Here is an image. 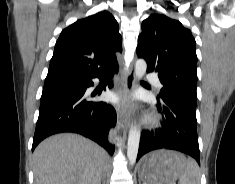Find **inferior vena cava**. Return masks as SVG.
Masks as SVG:
<instances>
[{
	"label": "inferior vena cava",
	"mask_w": 235,
	"mask_h": 184,
	"mask_svg": "<svg viewBox=\"0 0 235 184\" xmlns=\"http://www.w3.org/2000/svg\"><path fill=\"white\" fill-rule=\"evenodd\" d=\"M115 134H116V132H114V130H111V132L109 134V140H110V142H113V144H115V140H116Z\"/></svg>",
	"instance_id": "1"
}]
</instances>
